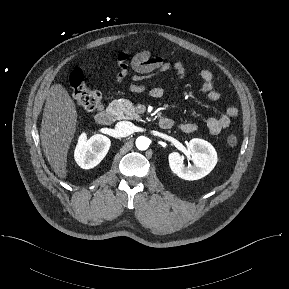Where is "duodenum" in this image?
Listing matches in <instances>:
<instances>
[{
	"label": "duodenum",
	"instance_id": "obj_1",
	"mask_svg": "<svg viewBox=\"0 0 289 289\" xmlns=\"http://www.w3.org/2000/svg\"><path fill=\"white\" fill-rule=\"evenodd\" d=\"M96 122L101 126H108L113 122V113L110 110L104 109L96 114ZM159 126L162 129H170L173 126V121L170 118L162 117L159 119Z\"/></svg>",
	"mask_w": 289,
	"mask_h": 289
}]
</instances>
